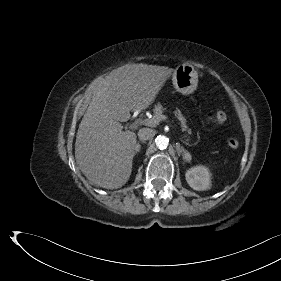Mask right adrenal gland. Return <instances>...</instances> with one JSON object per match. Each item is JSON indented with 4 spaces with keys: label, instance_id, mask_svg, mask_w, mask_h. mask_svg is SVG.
Here are the masks:
<instances>
[{
    "label": "right adrenal gland",
    "instance_id": "obj_1",
    "mask_svg": "<svg viewBox=\"0 0 281 281\" xmlns=\"http://www.w3.org/2000/svg\"><path fill=\"white\" fill-rule=\"evenodd\" d=\"M144 142V141H142ZM140 148H141V145L140 143L138 142L136 145H135V154H137L139 151H140Z\"/></svg>",
    "mask_w": 281,
    "mask_h": 281
}]
</instances>
